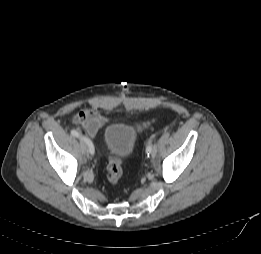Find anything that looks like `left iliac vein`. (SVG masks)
<instances>
[{
  "instance_id": "left-iliac-vein-1",
  "label": "left iliac vein",
  "mask_w": 261,
  "mask_h": 254,
  "mask_svg": "<svg viewBox=\"0 0 261 254\" xmlns=\"http://www.w3.org/2000/svg\"><path fill=\"white\" fill-rule=\"evenodd\" d=\"M156 153H157V149H156V147H154L153 151H152V156L154 157L156 155Z\"/></svg>"
}]
</instances>
